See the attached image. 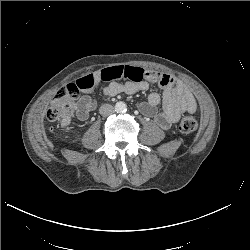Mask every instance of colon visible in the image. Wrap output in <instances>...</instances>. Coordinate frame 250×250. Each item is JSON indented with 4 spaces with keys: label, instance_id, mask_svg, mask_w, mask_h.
Returning <instances> with one entry per match:
<instances>
[{
    "label": "colon",
    "instance_id": "1",
    "mask_svg": "<svg viewBox=\"0 0 250 250\" xmlns=\"http://www.w3.org/2000/svg\"><path fill=\"white\" fill-rule=\"evenodd\" d=\"M79 87L76 83L62 87L55 95L46 116L51 121L70 120L74 109L75 101L79 95ZM197 121L193 116L185 115L179 121V131L184 135H191L197 129Z\"/></svg>",
    "mask_w": 250,
    "mask_h": 250
}]
</instances>
